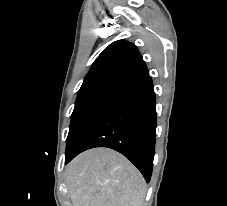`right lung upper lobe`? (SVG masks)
I'll use <instances>...</instances> for the list:
<instances>
[{
  "mask_svg": "<svg viewBox=\"0 0 227 206\" xmlns=\"http://www.w3.org/2000/svg\"><path fill=\"white\" fill-rule=\"evenodd\" d=\"M148 74L136 46L125 40H118L106 47L97 57L81 87L104 80L130 83Z\"/></svg>",
  "mask_w": 227,
  "mask_h": 206,
  "instance_id": "cb5924a9",
  "label": "right lung upper lobe"
}]
</instances>
